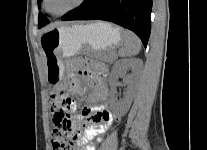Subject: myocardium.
Wrapping results in <instances>:
<instances>
[{"mask_svg":"<svg viewBox=\"0 0 207 150\" xmlns=\"http://www.w3.org/2000/svg\"><path fill=\"white\" fill-rule=\"evenodd\" d=\"M85 1L86 0H77V2L74 5H72L71 7L67 8L64 11L57 12V13L56 12H52V11L49 10L48 5H47L48 0H43V4H44V8H45V10H46L47 13H49L51 15H54V16H62V15H65V14H67V13H69V12L77 9L82 4H84Z\"/></svg>","mask_w":207,"mask_h":150,"instance_id":"myocardium-1","label":"myocardium"}]
</instances>
